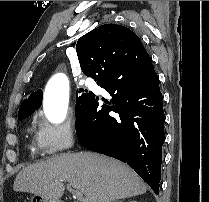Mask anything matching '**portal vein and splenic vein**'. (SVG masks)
<instances>
[{
    "label": "portal vein and splenic vein",
    "mask_w": 209,
    "mask_h": 202,
    "mask_svg": "<svg viewBox=\"0 0 209 202\" xmlns=\"http://www.w3.org/2000/svg\"><path fill=\"white\" fill-rule=\"evenodd\" d=\"M67 189L73 194V196L75 197V199H77V201L85 202V199L83 198V194L80 190L72 188L71 185H67Z\"/></svg>",
    "instance_id": "obj_1"
}]
</instances>
